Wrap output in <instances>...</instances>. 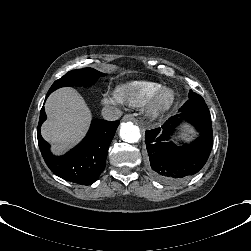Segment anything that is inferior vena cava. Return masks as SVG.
Listing matches in <instances>:
<instances>
[{"mask_svg":"<svg viewBox=\"0 0 251 251\" xmlns=\"http://www.w3.org/2000/svg\"><path fill=\"white\" fill-rule=\"evenodd\" d=\"M102 115L106 120H116L121 117L122 110L112 105H106L102 109Z\"/></svg>","mask_w":251,"mask_h":251,"instance_id":"1","label":"inferior vena cava"}]
</instances>
